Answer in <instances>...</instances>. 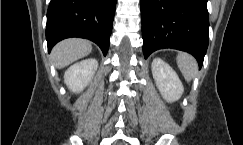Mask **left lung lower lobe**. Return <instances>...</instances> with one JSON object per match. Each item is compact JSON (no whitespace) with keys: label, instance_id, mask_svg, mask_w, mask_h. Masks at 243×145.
<instances>
[{"label":"left lung lower lobe","instance_id":"1","mask_svg":"<svg viewBox=\"0 0 243 145\" xmlns=\"http://www.w3.org/2000/svg\"><path fill=\"white\" fill-rule=\"evenodd\" d=\"M144 57L162 48L192 54L202 66L209 42L207 0H140Z\"/></svg>","mask_w":243,"mask_h":145}]
</instances>
